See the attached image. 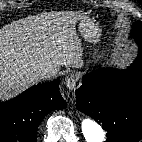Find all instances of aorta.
I'll list each match as a JSON object with an SVG mask.
<instances>
[{
	"instance_id": "obj_1",
	"label": "aorta",
	"mask_w": 142,
	"mask_h": 142,
	"mask_svg": "<svg viewBox=\"0 0 142 142\" xmlns=\"http://www.w3.org/2000/svg\"><path fill=\"white\" fill-rule=\"evenodd\" d=\"M82 133L87 142H103L105 139V132L96 122L85 119L81 125Z\"/></svg>"
}]
</instances>
